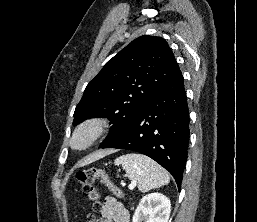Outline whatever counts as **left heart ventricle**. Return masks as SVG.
Returning <instances> with one entry per match:
<instances>
[{"label":"left heart ventricle","mask_w":257,"mask_h":222,"mask_svg":"<svg viewBox=\"0 0 257 222\" xmlns=\"http://www.w3.org/2000/svg\"><path fill=\"white\" fill-rule=\"evenodd\" d=\"M88 140V134L87 133H82L80 134L75 141V144L77 146L83 145L86 141Z\"/></svg>","instance_id":"b2bd125f"}]
</instances>
